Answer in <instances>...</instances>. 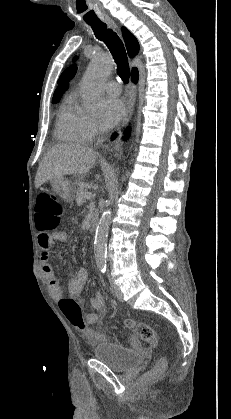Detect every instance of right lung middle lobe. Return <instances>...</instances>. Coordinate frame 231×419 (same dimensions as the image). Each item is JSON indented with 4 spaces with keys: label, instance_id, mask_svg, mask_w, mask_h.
Returning a JSON list of instances; mask_svg holds the SVG:
<instances>
[{
    "label": "right lung middle lobe",
    "instance_id": "1",
    "mask_svg": "<svg viewBox=\"0 0 231 419\" xmlns=\"http://www.w3.org/2000/svg\"><path fill=\"white\" fill-rule=\"evenodd\" d=\"M59 99H60V98H55V99H52V103H56V102H58V101H59Z\"/></svg>",
    "mask_w": 231,
    "mask_h": 419
}]
</instances>
